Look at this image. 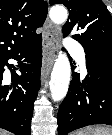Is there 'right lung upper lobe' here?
<instances>
[{
    "label": "right lung upper lobe",
    "mask_w": 112,
    "mask_h": 135,
    "mask_svg": "<svg viewBox=\"0 0 112 135\" xmlns=\"http://www.w3.org/2000/svg\"><path fill=\"white\" fill-rule=\"evenodd\" d=\"M47 9L43 0H0V60L42 36Z\"/></svg>",
    "instance_id": "cb5924a9"
}]
</instances>
